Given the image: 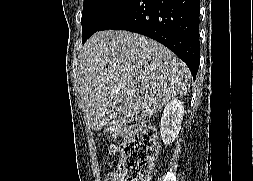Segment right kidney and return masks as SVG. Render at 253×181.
Segmentation results:
<instances>
[{
  "mask_svg": "<svg viewBox=\"0 0 253 181\" xmlns=\"http://www.w3.org/2000/svg\"><path fill=\"white\" fill-rule=\"evenodd\" d=\"M183 115V102L172 99L166 103L160 123L161 138L165 144H170L177 138Z\"/></svg>",
  "mask_w": 253,
  "mask_h": 181,
  "instance_id": "ca27d5eb",
  "label": "right kidney"
}]
</instances>
